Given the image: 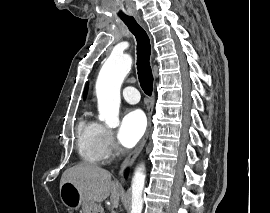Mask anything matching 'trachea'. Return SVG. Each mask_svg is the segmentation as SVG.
Here are the masks:
<instances>
[{
    "instance_id": "1",
    "label": "trachea",
    "mask_w": 270,
    "mask_h": 213,
    "mask_svg": "<svg viewBox=\"0 0 270 213\" xmlns=\"http://www.w3.org/2000/svg\"><path fill=\"white\" fill-rule=\"evenodd\" d=\"M123 22L134 34L137 41V71L140 86L147 95L153 91V75L150 66L151 45L146 31L134 18L124 19Z\"/></svg>"
}]
</instances>
